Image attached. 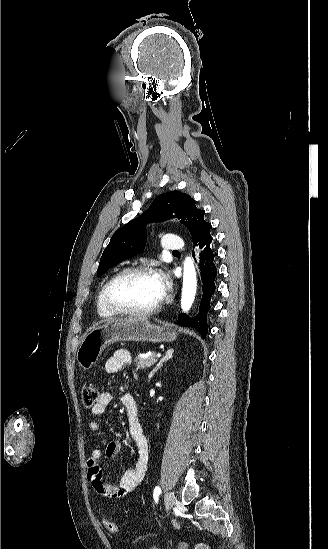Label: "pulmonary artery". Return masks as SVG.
<instances>
[{
	"instance_id": "1",
	"label": "pulmonary artery",
	"mask_w": 328,
	"mask_h": 549,
	"mask_svg": "<svg viewBox=\"0 0 328 549\" xmlns=\"http://www.w3.org/2000/svg\"><path fill=\"white\" fill-rule=\"evenodd\" d=\"M162 252H179L182 250L183 245L177 241L176 237H165L159 245Z\"/></svg>"
}]
</instances>
